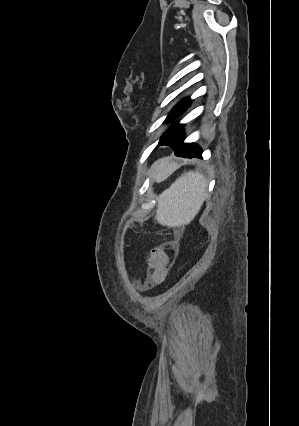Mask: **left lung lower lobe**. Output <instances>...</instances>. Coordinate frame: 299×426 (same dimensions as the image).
Listing matches in <instances>:
<instances>
[{
  "label": "left lung lower lobe",
  "mask_w": 299,
  "mask_h": 426,
  "mask_svg": "<svg viewBox=\"0 0 299 426\" xmlns=\"http://www.w3.org/2000/svg\"><path fill=\"white\" fill-rule=\"evenodd\" d=\"M184 137L181 133L177 140L170 147L175 151V155L180 157L202 158V149L193 143H183Z\"/></svg>",
  "instance_id": "0a47b994"
}]
</instances>
